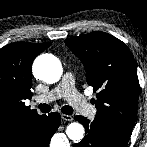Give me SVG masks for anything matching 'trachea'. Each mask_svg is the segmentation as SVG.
<instances>
[{
    "instance_id": "trachea-1",
    "label": "trachea",
    "mask_w": 147,
    "mask_h": 147,
    "mask_svg": "<svg viewBox=\"0 0 147 147\" xmlns=\"http://www.w3.org/2000/svg\"><path fill=\"white\" fill-rule=\"evenodd\" d=\"M38 108H39V110L42 112V113H48V112H50V110H51V107H50V105H48V104H40L39 106H38ZM61 111H62V113H64V114H66V115H72V113H73V109H72V107H70V106H63L62 108H61Z\"/></svg>"
}]
</instances>
